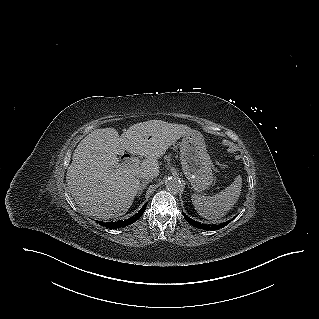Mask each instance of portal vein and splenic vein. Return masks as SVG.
I'll list each match as a JSON object with an SVG mask.
<instances>
[{
	"label": "portal vein and splenic vein",
	"mask_w": 319,
	"mask_h": 319,
	"mask_svg": "<svg viewBox=\"0 0 319 319\" xmlns=\"http://www.w3.org/2000/svg\"><path fill=\"white\" fill-rule=\"evenodd\" d=\"M139 165V160L134 158L125 162L124 166L126 167H137Z\"/></svg>",
	"instance_id": "portal-vein-and-splenic-vein-1"
}]
</instances>
